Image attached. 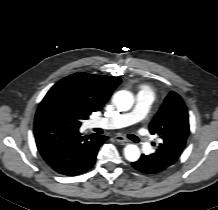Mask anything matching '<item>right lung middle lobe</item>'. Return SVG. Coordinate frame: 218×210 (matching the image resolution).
<instances>
[{"instance_id":"1","label":"right lung middle lobe","mask_w":218,"mask_h":210,"mask_svg":"<svg viewBox=\"0 0 218 210\" xmlns=\"http://www.w3.org/2000/svg\"><path fill=\"white\" fill-rule=\"evenodd\" d=\"M88 116L89 114L66 94L51 88L39 104L35 122L54 121L77 130Z\"/></svg>"}]
</instances>
